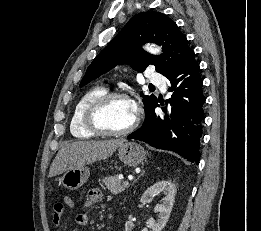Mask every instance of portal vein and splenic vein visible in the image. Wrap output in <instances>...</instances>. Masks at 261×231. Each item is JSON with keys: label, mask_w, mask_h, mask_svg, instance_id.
I'll return each instance as SVG.
<instances>
[{"label": "portal vein and splenic vein", "mask_w": 261, "mask_h": 231, "mask_svg": "<svg viewBox=\"0 0 261 231\" xmlns=\"http://www.w3.org/2000/svg\"><path fill=\"white\" fill-rule=\"evenodd\" d=\"M123 184L124 185H129V182L128 181H124Z\"/></svg>", "instance_id": "obj_1"}]
</instances>
